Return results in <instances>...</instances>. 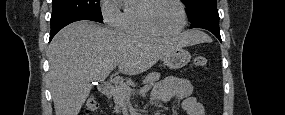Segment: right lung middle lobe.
<instances>
[{
	"instance_id": "right-lung-middle-lobe-1",
	"label": "right lung middle lobe",
	"mask_w": 285,
	"mask_h": 115,
	"mask_svg": "<svg viewBox=\"0 0 285 115\" xmlns=\"http://www.w3.org/2000/svg\"><path fill=\"white\" fill-rule=\"evenodd\" d=\"M51 26L72 18H83L102 23L100 0H53Z\"/></svg>"
}]
</instances>
